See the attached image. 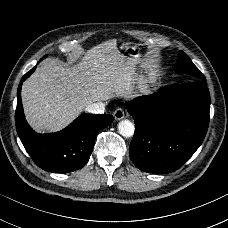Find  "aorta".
Instances as JSON below:
<instances>
[{"label":"aorta","instance_id":"obj_1","mask_svg":"<svg viewBox=\"0 0 228 228\" xmlns=\"http://www.w3.org/2000/svg\"><path fill=\"white\" fill-rule=\"evenodd\" d=\"M134 131H135V127L131 121L125 119V120H121L118 123V132L124 137L133 136Z\"/></svg>","mask_w":228,"mask_h":228}]
</instances>
